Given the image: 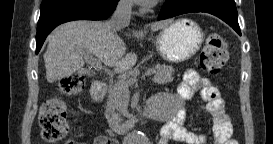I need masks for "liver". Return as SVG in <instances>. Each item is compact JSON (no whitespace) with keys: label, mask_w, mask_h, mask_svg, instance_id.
Returning a JSON list of instances; mask_svg holds the SVG:
<instances>
[{"label":"liver","mask_w":273,"mask_h":144,"mask_svg":"<svg viewBox=\"0 0 273 144\" xmlns=\"http://www.w3.org/2000/svg\"><path fill=\"white\" fill-rule=\"evenodd\" d=\"M170 23L172 20L155 22L151 30L158 31ZM48 41L44 62L49 83L80 70L85 64L83 52L95 55L104 64L113 67L115 73L131 69L137 61V55L126 52L125 43L111 31L107 21L78 20L64 23L51 32Z\"/></svg>","instance_id":"obj_1"}]
</instances>
